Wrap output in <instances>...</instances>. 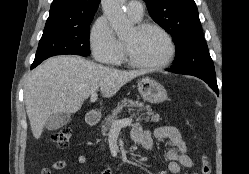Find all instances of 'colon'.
I'll return each mask as SVG.
<instances>
[{"label":"colon","mask_w":249,"mask_h":174,"mask_svg":"<svg viewBox=\"0 0 249 174\" xmlns=\"http://www.w3.org/2000/svg\"><path fill=\"white\" fill-rule=\"evenodd\" d=\"M72 138V130L69 127H62L57 132L52 135V143L59 149H65L69 146L70 140ZM201 174L211 173V163L207 156L202 157Z\"/></svg>","instance_id":"obj_1"}]
</instances>
